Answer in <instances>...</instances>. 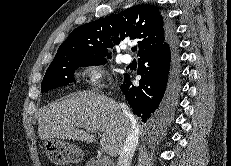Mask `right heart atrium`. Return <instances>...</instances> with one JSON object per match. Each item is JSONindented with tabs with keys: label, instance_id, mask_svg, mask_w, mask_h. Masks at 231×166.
Listing matches in <instances>:
<instances>
[{
	"label": "right heart atrium",
	"instance_id": "obj_1",
	"mask_svg": "<svg viewBox=\"0 0 231 166\" xmlns=\"http://www.w3.org/2000/svg\"><path fill=\"white\" fill-rule=\"evenodd\" d=\"M84 76L89 86L96 87L103 79V68L97 63H90L84 68Z\"/></svg>",
	"mask_w": 231,
	"mask_h": 166
}]
</instances>
